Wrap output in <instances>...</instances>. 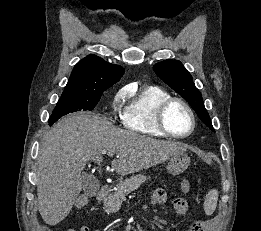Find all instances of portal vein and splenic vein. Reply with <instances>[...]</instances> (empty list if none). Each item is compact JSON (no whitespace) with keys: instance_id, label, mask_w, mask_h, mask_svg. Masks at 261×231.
I'll return each mask as SVG.
<instances>
[{"instance_id":"18ae733b","label":"portal vein and splenic vein","mask_w":261,"mask_h":231,"mask_svg":"<svg viewBox=\"0 0 261 231\" xmlns=\"http://www.w3.org/2000/svg\"><path fill=\"white\" fill-rule=\"evenodd\" d=\"M104 153H106V152H104ZM109 156H112L113 155V153H111V152H108L107 153Z\"/></svg>"}]
</instances>
